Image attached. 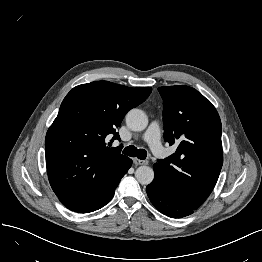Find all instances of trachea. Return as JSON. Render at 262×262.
I'll list each match as a JSON object with an SVG mask.
<instances>
[{
  "label": "trachea",
  "mask_w": 262,
  "mask_h": 262,
  "mask_svg": "<svg viewBox=\"0 0 262 262\" xmlns=\"http://www.w3.org/2000/svg\"><path fill=\"white\" fill-rule=\"evenodd\" d=\"M123 154L130 156V157H137L138 159H142V160H144L147 157V151L146 150L137 149L133 145L127 146L123 150Z\"/></svg>",
  "instance_id": "1"
}]
</instances>
